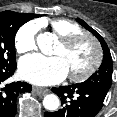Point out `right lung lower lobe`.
<instances>
[{"label": "right lung lower lobe", "instance_id": "right-lung-lower-lobe-1", "mask_svg": "<svg viewBox=\"0 0 117 117\" xmlns=\"http://www.w3.org/2000/svg\"><path fill=\"white\" fill-rule=\"evenodd\" d=\"M16 65L0 70V117H14L16 99L21 92H30L32 86L26 82L5 84V80L13 75Z\"/></svg>", "mask_w": 117, "mask_h": 117}]
</instances>
